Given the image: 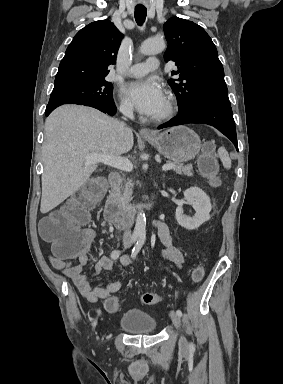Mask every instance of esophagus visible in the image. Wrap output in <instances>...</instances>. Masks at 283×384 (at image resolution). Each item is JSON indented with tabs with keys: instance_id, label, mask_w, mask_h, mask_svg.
<instances>
[{
	"instance_id": "34e87169",
	"label": "esophagus",
	"mask_w": 283,
	"mask_h": 384,
	"mask_svg": "<svg viewBox=\"0 0 283 384\" xmlns=\"http://www.w3.org/2000/svg\"><path fill=\"white\" fill-rule=\"evenodd\" d=\"M140 135L143 136V137H154L156 134L154 132H152L151 130L149 129H141L140 130Z\"/></svg>"
}]
</instances>
